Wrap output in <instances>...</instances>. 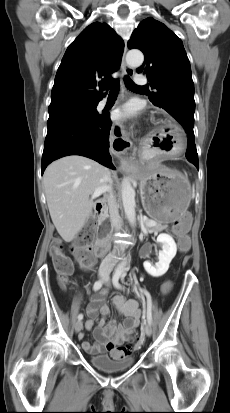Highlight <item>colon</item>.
Here are the masks:
<instances>
[{
	"label": "colon",
	"mask_w": 230,
	"mask_h": 413,
	"mask_svg": "<svg viewBox=\"0 0 230 413\" xmlns=\"http://www.w3.org/2000/svg\"><path fill=\"white\" fill-rule=\"evenodd\" d=\"M190 224V217L187 214L182 215L174 224V228L180 232L178 251L179 255L183 256L184 252L192 246V241L188 235H185ZM95 238L94 226L88 225L76 238L74 242V251L76 258L84 265H90L93 263V257L90 253V246ZM50 257L54 268L59 275L62 283L68 285V278L73 271V264L71 260L64 254L62 246L59 243H54L50 248ZM163 292L167 293L172 290V281H163ZM133 349L132 344H128L125 347L126 352H131Z\"/></svg>",
	"instance_id": "5ec220e1"
}]
</instances>
